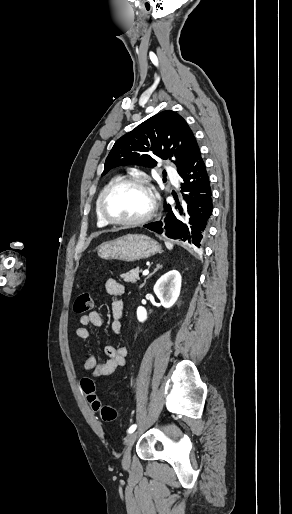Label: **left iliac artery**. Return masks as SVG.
Returning a JSON list of instances; mask_svg holds the SVG:
<instances>
[{
	"instance_id": "left-iliac-artery-1",
	"label": "left iliac artery",
	"mask_w": 292,
	"mask_h": 514,
	"mask_svg": "<svg viewBox=\"0 0 292 514\" xmlns=\"http://www.w3.org/2000/svg\"><path fill=\"white\" fill-rule=\"evenodd\" d=\"M136 428H137V425H136V424L131 425V426L129 427V429H128V433L130 434V433L134 432V431L136 430Z\"/></svg>"
}]
</instances>
